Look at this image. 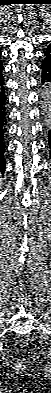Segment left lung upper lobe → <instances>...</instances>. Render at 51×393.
Listing matches in <instances>:
<instances>
[{"instance_id":"1","label":"left lung upper lobe","mask_w":51,"mask_h":393,"mask_svg":"<svg viewBox=\"0 0 51 393\" xmlns=\"http://www.w3.org/2000/svg\"><path fill=\"white\" fill-rule=\"evenodd\" d=\"M45 52H51V45L45 50Z\"/></svg>"}]
</instances>
